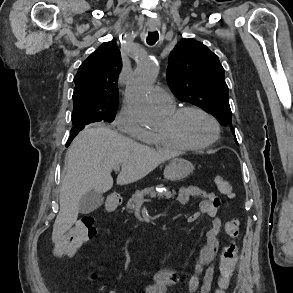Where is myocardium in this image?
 <instances>
[{
    "label": "myocardium",
    "instance_id": "1",
    "mask_svg": "<svg viewBox=\"0 0 293 293\" xmlns=\"http://www.w3.org/2000/svg\"><path fill=\"white\" fill-rule=\"evenodd\" d=\"M189 112L199 113L211 122L214 128V135L210 140L201 144H193L184 139V137L181 135L179 131V123L182 117ZM162 132L167 137H169L170 139H172L173 141L177 142L178 144L182 145L187 149L202 150L212 146L220 139L221 127L218 120L211 113L204 110L203 108L197 106H185L177 108L172 113L167 115V126Z\"/></svg>",
    "mask_w": 293,
    "mask_h": 293
}]
</instances>
